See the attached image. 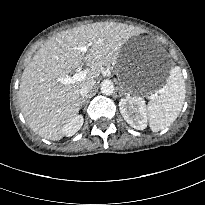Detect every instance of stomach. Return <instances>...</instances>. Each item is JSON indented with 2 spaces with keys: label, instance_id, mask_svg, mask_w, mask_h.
Returning <instances> with one entry per match:
<instances>
[{
  "label": "stomach",
  "instance_id": "obj_1",
  "mask_svg": "<svg viewBox=\"0 0 205 205\" xmlns=\"http://www.w3.org/2000/svg\"><path fill=\"white\" fill-rule=\"evenodd\" d=\"M158 50L147 37H137L128 41L118 55L117 72L129 92L140 91L150 94L159 85L141 75L144 66H151L156 60Z\"/></svg>",
  "mask_w": 205,
  "mask_h": 205
}]
</instances>
